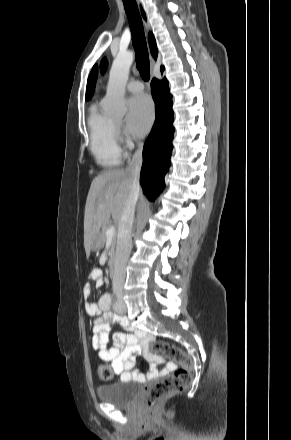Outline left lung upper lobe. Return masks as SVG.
Wrapping results in <instances>:
<instances>
[{
  "instance_id": "obj_1",
  "label": "left lung upper lobe",
  "mask_w": 291,
  "mask_h": 440,
  "mask_svg": "<svg viewBox=\"0 0 291 440\" xmlns=\"http://www.w3.org/2000/svg\"><path fill=\"white\" fill-rule=\"evenodd\" d=\"M106 66H107L106 59H103L102 62H101V69H102V72L105 71Z\"/></svg>"
}]
</instances>
